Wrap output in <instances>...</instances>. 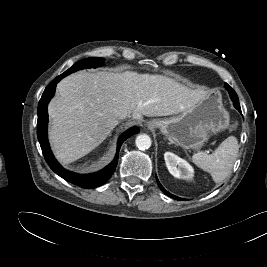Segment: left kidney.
Returning a JSON list of instances; mask_svg holds the SVG:
<instances>
[{
    "instance_id": "1",
    "label": "left kidney",
    "mask_w": 267,
    "mask_h": 267,
    "mask_svg": "<svg viewBox=\"0 0 267 267\" xmlns=\"http://www.w3.org/2000/svg\"><path fill=\"white\" fill-rule=\"evenodd\" d=\"M164 159L169 172L174 177L183 180H191L193 178L194 169L186 160L171 152H166Z\"/></svg>"
}]
</instances>
